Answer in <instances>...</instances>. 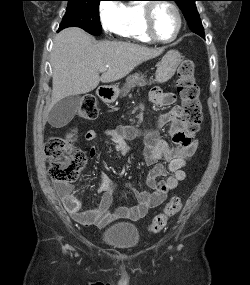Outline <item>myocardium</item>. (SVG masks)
Wrapping results in <instances>:
<instances>
[{
  "mask_svg": "<svg viewBox=\"0 0 250 285\" xmlns=\"http://www.w3.org/2000/svg\"><path fill=\"white\" fill-rule=\"evenodd\" d=\"M159 5H166V6L170 7L174 11V13L177 17V21H178L177 29H176L174 35L168 39L160 38L154 30V24H153L154 13H155L156 8ZM143 23H144L145 33L152 41L167 44V43L173 42L178 37V35L180 34V32L182 30V26H183V18H182V14H181L179 8L177 7V5H175L173 2H171L169 0H163L160 2H148L145 4L144 14H143Z\"/></svg>",
  "mask_w": 250,
  "mask_h": 285,
  "instance_id": "obj_1",
  "label": "myocardium"
}]
</instances>
